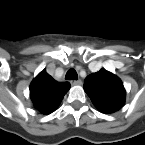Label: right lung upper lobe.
Wrapping results in <instances>:
<instances>
[{
	"instance_id": "cb5924a9",
	"label": "right lung upper lobe",
	"mask_w": 145,
	"mask_h": 145,
	"mask_svg": "<svg viewBox=\"0 0 145 145\" xmlns=\"http://www.w3.org/2000/svg\"><path fill=\"white\" fill-rule=\"evenodd\" d=\"M70 89L68 82L55 81L44 69L30 84V98L41 113H51Z\"/></svg>"
}]
</instances>
